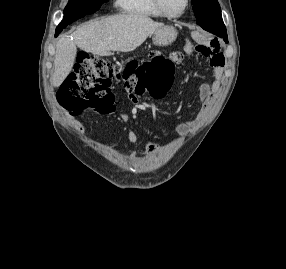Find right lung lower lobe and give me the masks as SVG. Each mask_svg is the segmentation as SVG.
<instances>
[{
	"label": "right lung lower lobe",
	"instance_id": "98d812e1",
	"mask_svg": "<svg viewBox=\"0 0 286 269\" xmlns=\"http://www.w3.org/2000/svg\"><path fill=\"white\" fill-rule=\"evenodd\" d=\"M59 33H60L59 31H56V32H55V36H58Z\"/></svg>",
	"mask_w": 286,
	"mask_h": 269
}]
</instances>
